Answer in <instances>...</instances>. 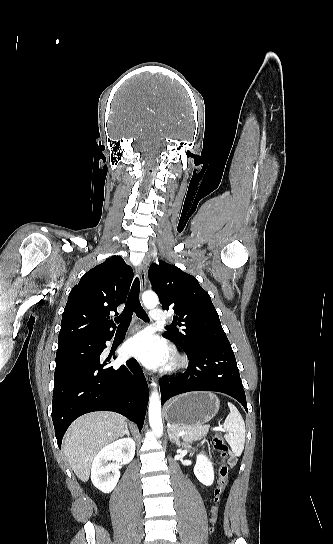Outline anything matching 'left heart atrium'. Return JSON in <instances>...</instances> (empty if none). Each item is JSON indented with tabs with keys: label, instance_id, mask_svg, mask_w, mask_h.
Segmentation results:
<instances>
[{
	"label": "left heart atrium",
	"instance_id": "obj_1",
	"mask_svg": "<svg viewBox=\"0 0 333 544\" xmlns=\"http://www.w3.org/2000/svg\"><path fill=\"white\" fill-rule=\"evenodd\" d=\"M129 356L139 360L150 368L164 365L169 359V351L165 343L149 332H140L129 339L125 346Z\"/></svg>",
	"mask_w": 333,
	"mask_h": 544
}]
</instances>
